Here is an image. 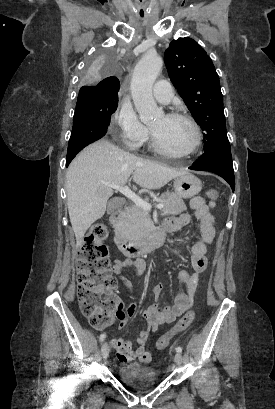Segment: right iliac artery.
<instances>
[{"label":"right iliac artery","instance_id":"obj_1","mask_svg":"<svg viewBox=\"0 0 275 409\" xmlns=\"http://www.w3.org/2000/svg\"><path fill=\"white\" fill-rule=\"evenodd\" d=\"M105 338H106V334H105V333H102V334L100 335V337H99V341H100V342H103V341L105 340Z\"/></svg>","mask_w":275,"mask_h":409}]
</instances>
